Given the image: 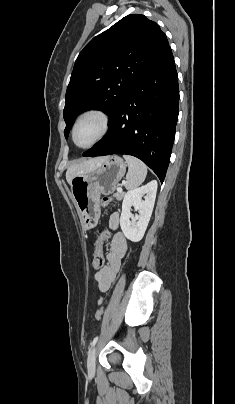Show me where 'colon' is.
Instances as JSON below:
<instances>
[{
    "mask_svg": "<svg viewBox=\"0 0 235 404\" xmlns=\"http://www.w3.org/2000/svg\"><path fill=\"white\" fill-rule=\"evenodd\" d=\"M111 199L109 197H104L102 203L104 206L110 203ZM110 233L108 230H104L100 233L97 241L96 248L92 259V266L94 269H101L104 265V254H103V244L109 238ZM104 314V309L101 307L95 313V319L97 321L101 320Z\"/></svg>",
    "mask_w": 235,
    "mask_h": 404,
    "instance_id": "5ec220e1",
    "label": "colon"
}]
</instances>
